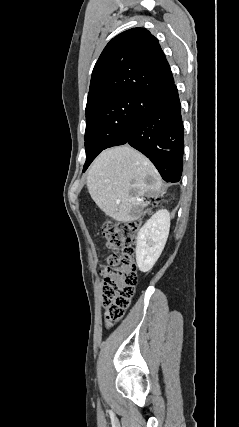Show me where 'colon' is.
<instances>
[{
    "label": "colon",
    "instance_id": "obj_1",
    "mask_svg": "<svg viewBox=\"0 0 239 427\" xmlns=\"http://www.w3.org/2000/svg\"><path fill=\"white\" fill-rule=\"evenodd\" d=\"M139 227L138 221L109 222L102 227L106 246L112 251L101 269L105 320L108 326L123 317L135 294L138 278L134 262V242Z\"/></svg>",
    "mask_w": 239,
    "mask_h": 427
}]
</instances>
